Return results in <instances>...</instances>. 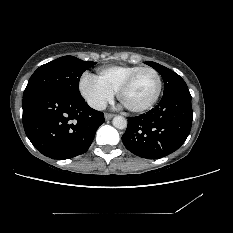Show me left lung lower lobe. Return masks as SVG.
I'll list each match as a JSON object with an SVG mask.
<instances>
[{"label":"left lung lower lobe","instance_id":"left-lung-lower-lobe-1","mask_svg":"<svg viewBox=\"0 0 233 233\" xmlns=\"http://www.w3.org/2000/svg\"><path fill=\"white\" fill-rule=\"evenodd\" d=\"M192 116L188 87L173 91L146 114L128 118L123 144L139 157H164L185 142L191 130Z\"/></svg>","mask_w":233,"mask_h":233}]
</instances>
